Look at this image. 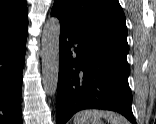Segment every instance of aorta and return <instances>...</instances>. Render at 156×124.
Returning <instances> with one entry per match:
<instances>
[{
	"label": "aorta",
	"mask_w": 156,
	"mask_h": 124,
	"mask_svg": "<svg viewBox=\"0 0 156 124\" xmlns=\"http://www.w3.org/2000/svg\"><path fill=\"white\" fill-rule=\"evenodd\" d=\"M60 21L49 18L42 31V81L45 92L54 95L59 73Z\"/></svg>",
	"instance_id": "762f6f07"
}]
</instances>
